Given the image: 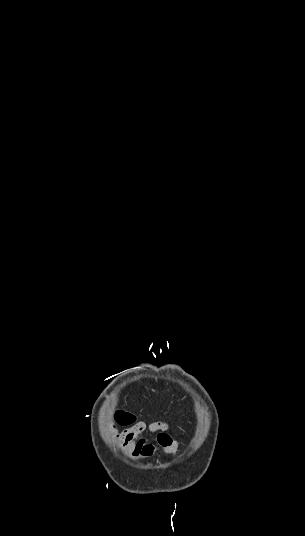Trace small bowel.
<instances>
[{
	"mask_svg": "<svg viewBox=\"0 0 305 536\" xmlns=\"http://www.w3.org/2000/svg\"><path fill=\"white\" fill-rule=\"evenodd\" d=\"M107 425L111 427L108 433L114 435L116 444L134 460L143 461L158 449L179 455V446L171 435L170 427H131L124 429L123 435H115L114 422L109 420ZM151 434L154 435L153 441L148 438Z\"/></svg>",
	"mask_w": 305,
	"mask_h": 536,
	"instance_id": "c3829d8e",
	"label": "small bowel"
}]
</instances>
